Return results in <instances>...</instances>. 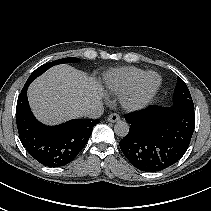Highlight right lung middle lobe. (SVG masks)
Instances as JSON below:
<instances>
[{
	"label": "right lung middle lobe",
	"mask_w": 211,
	"mask_h": 211,
	"mask_svg": "<svg viewBox=\"0 0 211 211\" xmlns=\"http://www.w3.org/2000/svg\"><path fill=\"white\" fill-rule=\"evenodd\" d=\"M78 59L74 58V57H68V58H63V59H59V60H55L53 62H49L45 65H42L40 67H38L28 78V80L26 81L25 84L29 85L36 77H38L39 75H41L42 73H44L46 70H48L50 67L54 66V65H58V64H64V63H68V62H77Z\"/></svg>",
	"instance_id": "obj_1"
}]
</instances>
